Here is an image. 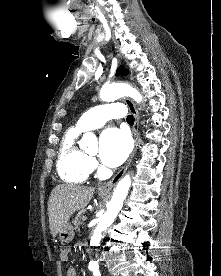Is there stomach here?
Here are the masks:
<instances>
[{
    "label": "stomach",
    "instance_id": "obj_1",
    "mask_svg": "<svg viewBox=\"0 0 221 276\" xmlns=\"http://www.w3.org/2000/svg\"><path fill=\"white\" fill-rule=\"evenodd\" d=\"M100 197L104 198L105 196L100 195ZM74 235L75 233L71 223H67L59 232V239L64 243H69L73 240Z\"/></svg>",
    "mask_w": 221,
    "mask_h": 276
}]
</instances>
